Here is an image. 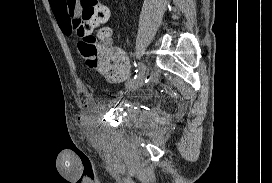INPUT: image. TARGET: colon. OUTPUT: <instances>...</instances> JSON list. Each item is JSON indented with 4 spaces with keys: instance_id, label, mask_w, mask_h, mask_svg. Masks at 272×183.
Listing matches in <instances>:
<instances>
[{
    "instance_id": "colon-1",
    "label": "colon",
    "mask_w": 272,
    "mask_h": 183,
    "mask_svg": "<svg viewBox=\"0 0 272 183\" xmlns=\"http://www.w3.org/2000/svg\"><path fill=\"white\" fill-rule=\"evenodd\" d=\"M68 26L82 38L79 49L91 69L108 68L117 57L102 42H97L96 30L108 20L109 11L100 0H67ZM78 12H75V8ZM104 35L103 31L100 37Z\"/></svg>"
}]
</instances>
